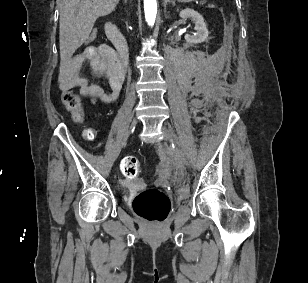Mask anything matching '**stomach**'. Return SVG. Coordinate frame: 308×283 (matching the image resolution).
<instances>
[{"label":"stomach","instance_id":"0dacf381","mask_svg":"<svg viewBox=\"0 0 308 283\" xmlns=\"http://www.w3.org/2000/svg\"><path fill=\"white\" fill-rule=\"evenodd\" d=\"M179 1H181V2H191L193 0H179Z\"/></svg>","mask_w":308,"mask_h":283}]
</instances>
